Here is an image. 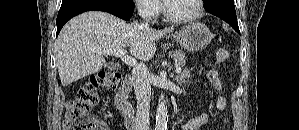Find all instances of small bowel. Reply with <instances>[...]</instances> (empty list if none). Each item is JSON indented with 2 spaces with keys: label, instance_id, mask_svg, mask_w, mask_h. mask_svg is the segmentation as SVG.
I'll use <instances>...</instances> for the list:
<instances>
[{
  "label": "small bowel",
  "instance_id": "obj_1",
  "mask_svg": "<svg viewBox=\"0 0 299 130\" xmlns=\"http://www.w3.org/2000/svg\"><path fill=\"white\" fill-rule=\"evenodd\" d=\"M188 75V71H185L183 74V76L185 77H187ZM216 105L219 110H223L226 106V100L219 92L217 93ZM210 118H212V116L209 114H201L195 118L188 120L187 122H181V128L182 130H198L203 125H205ZM105 127L107 128V130H109V128L106 125Z\"/></svg>",
  "mask_w": 299,
  "mask_h": 130
}]
</instances>
